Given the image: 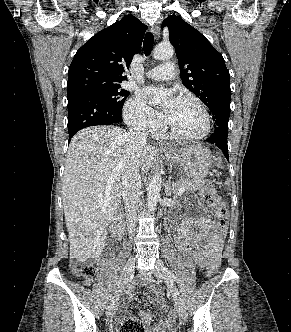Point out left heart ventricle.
Instances as JSON below:
<instances>
[{
  "mask_svg": "<svg viewBox=\"0 0 291 332\" xmlns=\"http://www.w3.org/2000/svg\"><path fill=\"white\" fill-rule=\"evenodd\" d=\"M166 123L186 135L199 134L205 125L203 114L196 104L179 100L171 107Z\"/></svg>",
  "mask_w": 291,
  "mask_h": 332,
  "instance_id": "b2bd125f",
  "label": "left heart ventricle"
}]
</instances>
